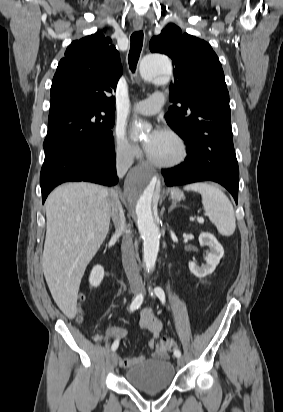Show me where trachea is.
Instances as JSON below:
<instances>
[{
    "instance_id": "obj_1",
    "label": "trachea",
    "mask_w": 283,
    "mask_h": 412,
    "mask_svg": "<svg viewBox=\"0 0 283 412\" xmlns=\"http://www.w3.org/2000/svg\"><path fill=\"white\" fill-rule=\"evenodd\" d=\"M143 45V32L137 31L131 35V45L128 62L132 72H135Z\"/></svg>"
}]
</instances>
